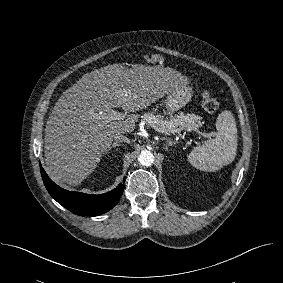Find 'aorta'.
<instances>
[{"label": "aorta", "mask_w": 283, "mask_h": 283, "mask_svg": "<svg viewBox=\"0 0 283 283\" xmlns=\"http://www.w3.org/2000/svg\"><path fill=\"white\" fill-rule=\"evenodd\" d=\"M138 161L142 166H151L154 162V155L148 150H143L138 157Z\"/></svg>", "instance_id": "aorta-1"}]
</instances>
